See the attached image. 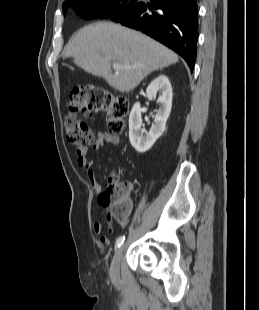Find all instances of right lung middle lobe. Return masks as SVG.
Here are the masks:
<instances>
[{"instance_id":"obj_1","label":"right lung middle lobe","mask_w":259,"mask_h":310,"mask_svg":"<svg viewBox=\"0 0 259 310\" xmlns=\"http://www.w3.org/2000/svg\"><path fill=\"white\" fill-rule=\"evenodd\" d=\"M138 4V0H99L91 3L73 1L63 5V13L65 16L67 8L71 5L84 19L109 17L118 22L129 12L136 9Z\"/></svg>"}]
</instances>
